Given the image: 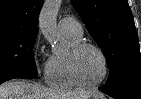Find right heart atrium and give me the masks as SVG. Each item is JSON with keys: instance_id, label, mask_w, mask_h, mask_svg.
Wrapping results in <instances>:
<instances>
[{"instance_id": "obj_1", "label": "right heart atrium", "mask_w": 141, "mask_h": 99, "mask_svg": "<svg viewBox=\"0 0 141 99\" xmlns=\"http://www.w3.org/2000/svg\"><path fill=\"white\" fill-rule=\"evenodd\" d=\"M40 51H41V44H40V42H37L34 47V55L36 58L39 55Z\"/></svg>"}]
</instances>
